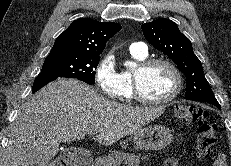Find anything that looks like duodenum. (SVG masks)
<instances>
[{"label": "duodenum", "mask_w": 231, "mask_h": 166, "mask_svg": "<svg viewBox=\"0 0 231 166\" xmlns=\"http://www.w3.org/2000/svg\"><path fill=\"white\" fill-rule=\"evenodd\" d=\"M63 160L66 166H89L92 157L88 152L70 150L64 154Z\"/></svg>", "instance_id": "1"}]
</instances>
